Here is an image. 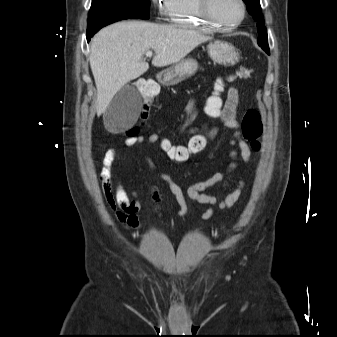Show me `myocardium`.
<instances>
[{
    "label": "myocardium",
    "mask_w": 337,
    "mask_h": 337,
    "mask_svg": "<svg viewBox=\"0 0 337 337\" xmlns=\"http://www.w3.org/2000/svg\"><path fill=\"white\" fill-rule=\"evenodd\" d=\"M241 7V17L233 24H224L219 22L212 12L213 0H198V6L202 18L215 30L228 31L239 27L245 20L247 8L244 0H237Z\"/></svg>",
    "instance_id": "f54148a6"
}]
</instances>
